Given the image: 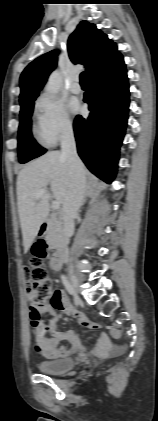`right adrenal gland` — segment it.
<instances>
[{
	"label": "right adrenal gland",
	"instance_id": "obj_1",
	"mask_svg": "<svg viewBox=\"0 0 158 421\" xmlns=\"http://www.w3.org/2000/svg\"><path fill=\"white\" fill-rule=\"evenodd\" d=\"M93 193H94L93 188H92V187H90V186H88V187H87V189H86L85 198H84V200H83L82 205H84V204H85L87 197H88V196H90V195H91V194H93Z\"/></svg>",
	"mask_w": 158,
	"mask_h": 421
}]
</instances>
